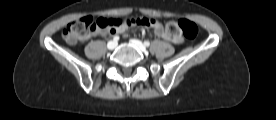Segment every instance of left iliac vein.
<instances>
[{
	"label": "left iliac vein",
	"mask_w": 276,
	"mask_h": 120,
	"mask_svg": "<svg viewBox=\"0 0 276 120\" xmlns=\"http://www.w3.org/2000/svg\"><path fill=\"white\" fill-rule=\"evenodd\" d=\"M130 42H131L132 45H134L140 51L146 52L147 49H146L145 45L141 41H139L137 39H132Z\"/></svg>",
	"instance_id": "1"
}]
</instances>
